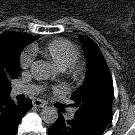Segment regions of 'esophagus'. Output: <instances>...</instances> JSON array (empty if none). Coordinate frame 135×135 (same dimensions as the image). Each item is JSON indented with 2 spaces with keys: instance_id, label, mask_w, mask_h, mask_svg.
<instances>
[{
  "instance_id": "esophagus-1",
  "label": "esophagus",
  "mask_w": 135,
  "mask_h": 135,
  "mask_svg": "<svg viewBox=\"0 0 135 135\" xmlns=\"http://www.w3.org/2000/svg\"><path fill=\"white\" fill-rule=\"evenodd\" d=\"M33 106L44 108V107H46V103L44 101L40 100V99H35L33 101Z\"/></svg>"
}]
</instances>
